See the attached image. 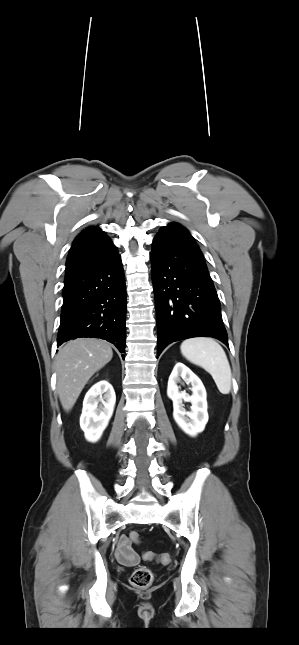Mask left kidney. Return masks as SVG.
<instances>
[{
	"label": "left kidney",
	"mask_w": 299,
	"mask_h": 645,
	"mask_svg": "<svg viewBox=\"0 0 299 645\" xmlns=\"http://www.w3.org/2000/svg\"><path fill=\"white\" fill-rule=\"evenodd\" d=\"M180 378L191 384L192 395L179 391ZM167 395L173 401V417L178 426L190 436L202 432L208 422L206 390L201 380L181 362L174 366L169 377ZM183 401L191 402V411H186Z\"/></svg>",
	"instance_id": "5707ae66"
}]
</instances>
